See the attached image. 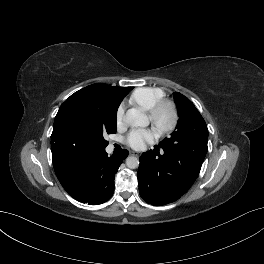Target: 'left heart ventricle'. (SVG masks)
Listing matches in <instances>:
<instances>
[{
    "instance_id": "left-heart-ventricle-1",
    "label": "left heart ventricle",
    "mask_w": 264,
    "mask_h": 264,
    "mask_svg": "<svg viewBox=\"0 0 264 264\" xmlns=\"http://www.w3.org/2000/svg\"><path fill=\"white\" fill-rule=\"evenodd\" d=\"M162 119H163L164 121H166V120L168 119V114H167V113H164Z\"/></svg>"
}]
</instances>
